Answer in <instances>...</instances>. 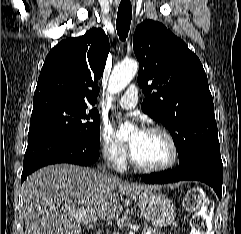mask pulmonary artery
<instances>
[{
    "label": "pulmonary artery",
    "instance_id": "1",
    "mask_svg": "<svg viewBox=\"0 0 241 234\" xmlns=\"http://www.w3.org/2000/svg\"><path fill=\"white\" fill-rule=\"evenodd\" d=\"M138 102V88L131 85L126 92L118 99V104L124 109H133Z\"/></svg>",
    "mask_w": 241,
    "mask_h": 234
}]
</instances>
